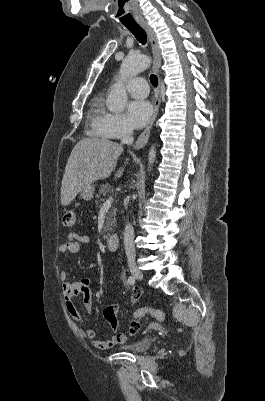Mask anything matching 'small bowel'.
<instances>
[{"label":"small bowel","mask_w":265,"mask_h":401,"mask_svg":"<svg viewBox=\"0 0 265 401\" xmlns=\"http://www.w3.org/2000/svg\"><path fill=\"white\" fill-rule=\"evenodd\" d=\"M89 242V236L71 232L66 240L60 245L59 251L62 254H74L79 252L81 245L88 244ZM60 279L62 281V291L66 309L71 318L77 322L79 327L83 330L84 335L89 343L101 350H106L115 345L124 344L127 341V335L125 333L118 332L119 322L117 317L120 307L117 303L107 306L103 311L104 319L114 331V334L107 340H99L95 331L86 325L82 314L74 303V298L81 295L82 305L86 314L88 316L92 315L93 301L90 290V280L82 279L74 282L68 281L67 273L65 271L60 273ZM140 295L141 291L138 288H134L132 291V301L136 302Z\"/></svg>","instance_id":"1"}]
</instances>
